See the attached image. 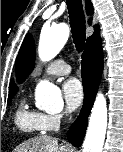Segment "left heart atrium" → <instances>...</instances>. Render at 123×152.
Returning <instances> with one entry per match:
<instances>
[{
	"label": "left heart atrium",
	"instance_id": "1",
	"mask_svg": "<svg viewBox=\"0 0 123 152\" xmlns=\"http://www.w3.org/2000/svg\"><path fill=\"white\" fill-rule=\"evenodd\" d=\"M62 93L68 110H76L83 100V87L76 78H70L63 83Z\"/></svg>",
	"mask_w": 123,
	"mask_h": 152
}]
</instances>
